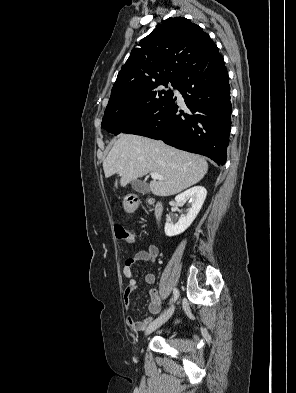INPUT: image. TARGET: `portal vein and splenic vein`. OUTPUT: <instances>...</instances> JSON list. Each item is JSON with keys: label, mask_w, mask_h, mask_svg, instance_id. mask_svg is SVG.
Returning <instances> with one entry per match:
<instances>
[{"label": "portal vein and splenic vein", "mask_w": 296, "mask_h": 393, "mask_svg": "<svg viewBox=\"0 0 296 393\" xmlns=\"http://www.w3.org/2000/svg\"><path fill=\"white\" fill-rule=\"evenodd\" d=\"M151 178L154 180H163L158 173H151Z\"/></svg>", "instance_id": "obj_1"}]
</instances>
